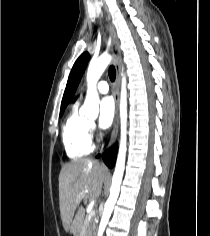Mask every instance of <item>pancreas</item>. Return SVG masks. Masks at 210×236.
Returning <instances> with one entry per match:
<instances>
[{"label":"pancreas","instance_id":"1","mask_svg":"<svg viewBox=\"0 0 210 236\" xmlns=\"http://www.w3.org/2000/svg\"><path fill=\"white\" fill-rule=\"evenodd\" d=\"M89 215H87L85 217L82 232H87L90 229H94V227H95V220L94 219H90ZM80 236H82V235H80Z\"/></svg>","mask_w":210,"mask_h":236}]
</instances>
